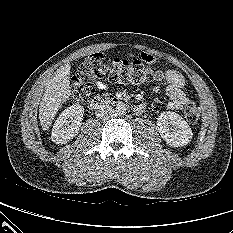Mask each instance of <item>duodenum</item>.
I'll return each instance as SVG.
<instances>
[{
    "mask_svg": "<svg viewBox=\"0 0 233 233\" xmlns=\"http://www.w3.org/2000/svg\"><path fill=\"white\" fill-rule=\"evenodd\" d=\"M107 105L127 106L142 111L141 106H135L130 101L117 96L94 97L89 101L91 110H100Z\"/></svg>",
    "mask_w": 233,
    "mask_h": 233,
    "instance_id": "410a0bca",
    "label": "duodenum"
}]
</instances>
